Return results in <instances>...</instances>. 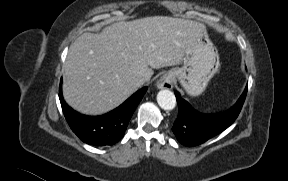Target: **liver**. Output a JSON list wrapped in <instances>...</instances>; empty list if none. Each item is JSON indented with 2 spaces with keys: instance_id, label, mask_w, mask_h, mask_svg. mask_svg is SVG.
Wrapping results in <instances>:
<instances>
[{
  "instance_id": "liver-1",
  "label": "liver",
  "mask_w": 288,
  "mask_h": 181,
  "mask_svg": "<svg viewBox=\"0 0 288 181\" xmlns=\"http://www.w3.org/2000/svg\"><path fill=\"white\" fill-rule=\"evenodd\" d=\"M199 26L192 20L151 16L83 33L71 44L63 67L65 101L83 114L114 109L137 90L136 79H151L152 68L180 64Z\"/></svg>"
}]
</instances>
